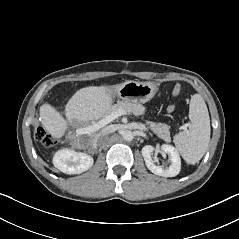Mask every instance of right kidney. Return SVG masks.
Segmentation results:
<instances>
[{
    "label": "right kidney",
    "mask_w": 239,
    "mask_h": 239,
    "mask_svg": "<svg viewBox=\"0 0 239 239\" xmlns=\"http://www.w3.org/2000/svg\"><path fill=\"white\" fill-rule=\"evenodd\" d=\"M53 164L63 173L70 175L80 174L93 165V158L85 153L75 152L66 148L55 153Z\"/></svg>",
    "instance_id": "obj_1"
}]
</instances>
